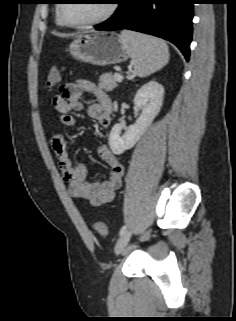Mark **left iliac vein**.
Instances as JSON below:
<instances>
[{
  "label": "left iliac vein",
  "mask_w": 236,
  "mask_h": 321,
  "mask_svg": "<svg viewBox=\"0 0 236 321\" xmlns=\"http://www.w3.org/2000/svg\"><path fill=\"white\" fill-rule=\"evenodd\" d=\"M131 237V231L127 230L123 235L118 239L115 245V253L119 254L128 244Z\"/></svg>",
  "instance_id": "1"
}]
</instances>
